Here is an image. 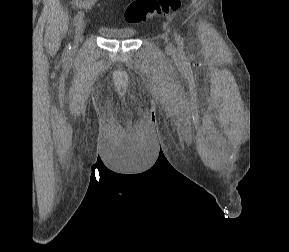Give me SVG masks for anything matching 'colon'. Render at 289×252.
Segmentation results:
<instances>
[{
  "instance_id": "colon-1",
  "label": "colon",
  "mask_w": 289,
  "mask_h": 252,
  "mask_svg": "<svg viewBox=\"0 0 289 252\" xmlns=\"http://www.w3.org/2000/svg\"><path fill=\"white\" fill-rule=\"evenodd\" d=\"M182 0H132L124 12L129 23H141L156 15H168L181 7Z\"/></svg>"
}]
</instances>
